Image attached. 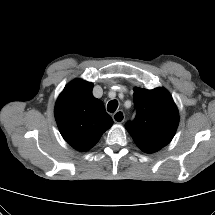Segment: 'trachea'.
I'll use <instances>...</instances> for the list:
<instances>
[{"instance_id": "obj_1", "label": "trachea", "mask_w": 215, "mask_h": 215, "mask_svg": "<svg viewBox=\"0 0 215 215\" xmlns=\"http://www.w3.org/2000/svg\"><path fill=\"white\" fill-rule=\"evenodd\" d=\"M117 107H118V101L117 100H111L108 103L107 110L110 113H114L116 111Z\"/></svg>"}]
</instances>
